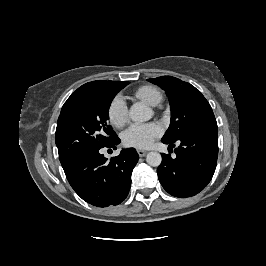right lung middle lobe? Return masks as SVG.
<instances>
[{
	"mask_svg": "<svg viewBox=\"0 0 266 266\" xmlns=\"http://www.w3.org/2000/svg\"><path fill=\"white\" fill-rule=\"evenodd\" d=\"M128 84L104 81L88 92L68 98L62 107L55 133L63 167L117 138L107 123L109 107L116 94Z\"/></svg>",
	"mask_w": 266,
	"mask_h": 266,
	"instance_id": "right-lung-middle-lobe-1",
	"label": "right lung middle lobe"
}]
</instances>
